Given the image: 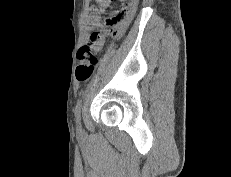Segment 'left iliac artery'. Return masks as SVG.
<instances>
[{"instance_id":"left-iliac-artery-1","label":"left iliac artery","mask_w":231,"mask_h":177,"mask_svg":"<svg viewBox=\"0 0 231 177\" xmlns=\"http://www.w3.org/2000/svg\"><path fill=\"white\" fill-rule=\"evenodd\" d=\"M81 105H82V100L79 99L77 104H76L75 110H74L76 122L78 125H80Z\"/></svg>"}]
</instances>
